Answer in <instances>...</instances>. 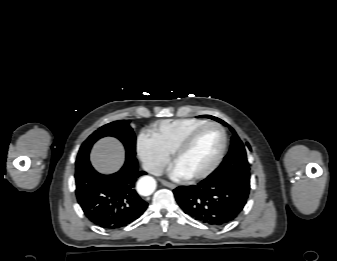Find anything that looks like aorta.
<instances>
[{
    "label": "aorta",
    "instance_id": "aorta-1",
    "mask_svg": "<svg viewBox=\"0 0 337 261\" xmlns=\"http://www.w3.org/2000/svg\"><path fill=\"white\" fill-rule=\"evenodd\" d=\"M156 189V181L150 176L141 177L137 182V190L143 196L151 195Z\"/></svg>",
    "mask_w": 337,
    "mask_h": 261
}]
</instances>
